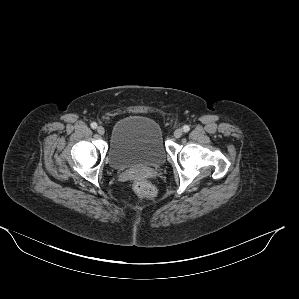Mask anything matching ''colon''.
<instances>
[{
    "instance_id": "5ec220e1",
    "label": "colon",
    "mask_w": 299,
    "mask_h": 299,
    "mask_svg": "<svg viewBox=\"0 0 299 299\" xmlns=\"http://www.w3.org/2000/svg\"><path fill=\"white\" fill-rule=\"evenodd\" d=\"M133 189L136 194L144 198H153L156 195L155 187L145 179H139L134 182Z\"/></svg>"
}]
</instances>
